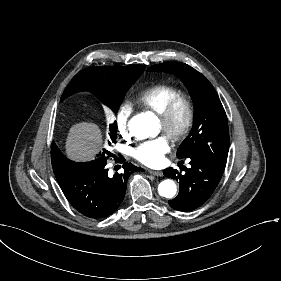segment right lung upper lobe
Here are the masks:
<instances>
[{"mask_svg":"<svg viewBox=\"0 0 281 281\" xmlns=\"http://www.w3.org/2000/svg\"><path fill=\"white\" fill-rule=\"evenodd\" d=\"M144 69L143 65L99 66L84 69L71 80L61 100L79 91H89L97 95L128 90Z\"/></svg>","mask_w":281,"mask_h":281,"instance_id":"cb5924a9","label":"right lung upper lobe"}]
</instances>
